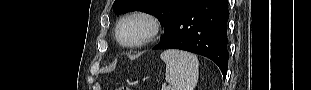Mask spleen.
Here are the masks:
<instances>
[{
    "label": "spleen",
    "mask_w": 311,
    "mask_h": 90,
    "mask_svg": "<svg viewBox=\"0 0 311 90\" xmlns=\"http://www.w3.org/2000/svg\"><path fill=\"white\" fill-rule=\"evenodd\" d=\"M160 58L166 64L165 80L171 90H193L198 82L199 61L196 55L169 49L162 52Z\"/></svg>",
    "instance_id": "1"
}]
</instances>
